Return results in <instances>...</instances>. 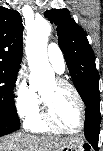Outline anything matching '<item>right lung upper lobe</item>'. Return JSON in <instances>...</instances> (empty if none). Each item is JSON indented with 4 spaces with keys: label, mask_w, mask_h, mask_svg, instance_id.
I'll use <instances>...</instances> for the list:
<instances>
[{
    "label": "right lung upper lobe",
    "mask_w": 103,
    "mask_h": 151,
    "mask_svg": "<svg viewBox=\"0 0 103 151\" xmlns=\"http://www.w3.org/2000/svg\"><path fill=\"white\" fill-rule=\"evenodd\" d=\"M23 24L17 11L0 6V64L20 67Z\"/></svg>",
    "instance_id": "right-lung-upper-lobe-1"
}]
</instances>
